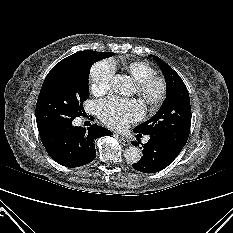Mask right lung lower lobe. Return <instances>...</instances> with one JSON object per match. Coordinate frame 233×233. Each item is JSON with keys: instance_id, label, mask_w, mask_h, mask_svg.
<instances>
[{"instance_id": "obj_1", "label": "right lung lower lobe", "mask_w": 233, "mask_h": 233, "mask_svg": "<svg viewBox=\"0 0 233 233\" xmlns=\"http://www.w3.org/2000/svg\"><path fill=\"white\" fill-rule=\"evenodd\" d=\"M39 134L47 153L54 161L66 167H79L96 157L95 140L113 133L97 124L91 125L87 130L70 124L65 128Z\"/></svg>"}]
</instances>
